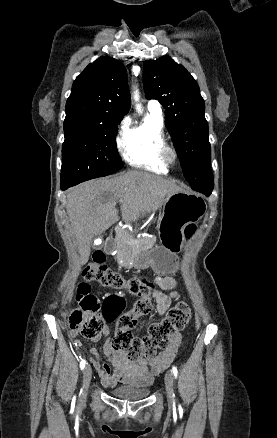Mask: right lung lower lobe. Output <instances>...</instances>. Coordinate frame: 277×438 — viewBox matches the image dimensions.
Segmentation results:
<instances>
[{"label": "right lung lower lobe", "instance_id": "98d812e1", "mask_svg": "<svg viewBox=\"0 0 277 438\" xmlns=\"http://www.w3.org/2000/svg\"><path fill=\"white\" fill-rule=\"evenodd\" d=\"M71 186H73V185H71V184H61V189L62 190H66L67 188H69Z\"/></svg>", "mask_w": 277, "mask_h": 438}]
</instances>
